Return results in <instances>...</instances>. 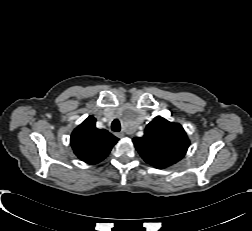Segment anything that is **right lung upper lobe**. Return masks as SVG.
<instances>
[{"instance_id": "right-lung-upper-lobe-1", "label": "right lung upper lobe", "mask_w": 252, "mask_h": 231, "mask_svg": "<svg viewBox=\"0 0 252 231\" xmlns=\"http://www.w3.org/2000/svg\"><path fill=\"white\" fill-rule=\"evenodd\" d=\"M96 119L89 116L71 134L70 144L76 156L88 164L104 160L119 140L105 129L95 127Z\"/></svg>"}]
</instances>
